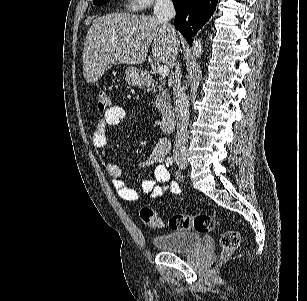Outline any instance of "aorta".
<instances>
[{
    "label": "aorta",
    "instance_id": "762f6f07",
    "mask_svg": "<svg viewBox=\"0 0 307 301\" xmlns=\"http://www.w3.org/2000/svg\"><path fill=\"white\" fill-rule=\"evenodd\" d=\"M193 54L196 56V58H199L201 52H202V42L201 38H194L193 40Z\"/></svg>",
    "mask_w": 307,
    "mask_h": 301
}]
</instances>
